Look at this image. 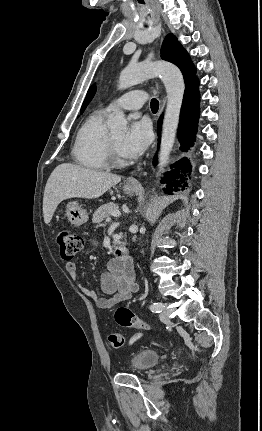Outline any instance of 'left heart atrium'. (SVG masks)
I'll list each match as a JSON object with an SVG mask.
<instances>
[{
    "instance_id": "left-heart-atrium-1",
    "label": "left heart atrium",
    "mask_w": 262,
    "mask_h": 431,
    "mask_svg": "<svg viewBox=\"0 0 262 431\" xmlns=\"http://www.w3.org/2000/svg\"><path fill=\"white\" fill-rule=\"evenodd\" d=\"M151 140V129L144 120L134 118L126 135L119 142L118 149L121 155L134 158L147 148Z\"/></svg>"
}]
</instances>
